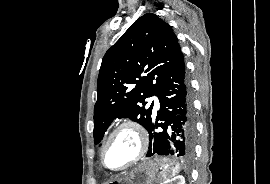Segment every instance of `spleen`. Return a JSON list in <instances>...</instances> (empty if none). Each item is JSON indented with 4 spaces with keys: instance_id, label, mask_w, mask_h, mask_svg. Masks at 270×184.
<instances>
[{
    "instance_id": "3e777b00",
    "label": "spleen",
    "mask_w": 270,
    "mask_h": 184,
    "mask_svg": "<svg viewBox=\"0 0 270 184\" xmlns=\"http://www.w3.org/2000/svg\"><path fill=\"white\" fill-rule=\"evenodd\" d=\"M179 171V168H175L173 171H172V174L167 176L165 173H163V181H167L169 180L170 178L174 177L176 175V173H178ZM160 184H163V183H160Z\"/></svg>"
}]
</instances>
